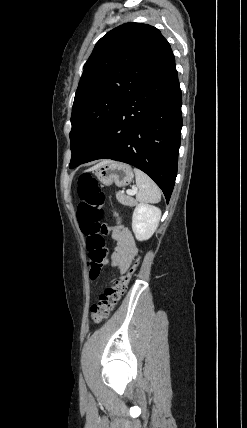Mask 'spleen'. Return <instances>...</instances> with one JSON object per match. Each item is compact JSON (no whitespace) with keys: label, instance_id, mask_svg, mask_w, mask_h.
<instances>
[{"label":"spleen","instance_id":"1","mask_svg":"<svg viewBox=\"0 0 247 428\" xmlns=\"http://www.w3.org/2000/svg\"><path fill=\"white\" fill-rule=\"evenodd\" d=\"M136 185L138 192L136 199L139 202L158 203L161 200V191L156 183L144 172L135 168Z\"/></svg>","mask_w":247,"mask_h":428}]
</instances>
